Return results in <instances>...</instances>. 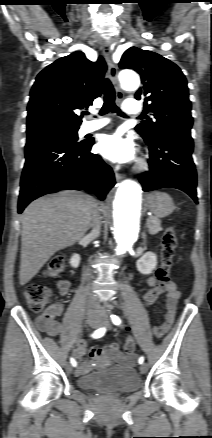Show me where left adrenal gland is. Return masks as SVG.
<instances>
[{
  "mask_svg": "<svg viewBox=\"0 0 212 438\" xmlns=\"http://www.w3.org/2000/svg\"><path fill=\"white\" fill-rule=\"evenodd\" d=\"M143 238H145V234L143 233Z\"/></svg>",
  "mask_w": 212,
  "mask_h": 438,
  "instance_id": "a2214340",
  "label": "left adrenal gland"
}]
</instances>
